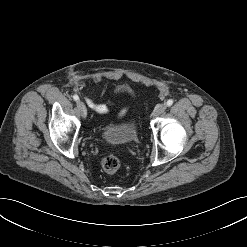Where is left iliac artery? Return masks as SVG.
Wrapping results in <instances>:
<instances>
[{
	"label": "left iliac artery",
	"mask_w": 247,
	"mask_h": 247,
	"mask_svg": "<svg viewBox=\"0 0 247 247\" xmlns=\"http://www.w3.org/2000/svg\"><path fill=\"white\" fill-rule=\"evenodd\" d=\"M166 104H167V106H171L173 104V100L169 99Z\"/></svg>",
	"instance_id": "left-iliac-artery-1"
}]
</instances>
